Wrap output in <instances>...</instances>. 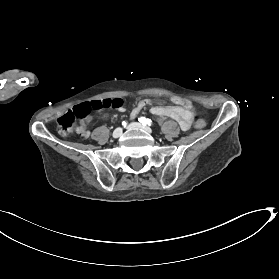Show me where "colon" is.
Returning <instances> with one entry per match:
<instances>
[{
    "label": "colon",
    "mask_w": 279,
    "mask_h": 279,
    "mask_svg": "<svg viewBox=\"0 0 279 279\" xmlns=\"http://www.w3.org/2000/svg\"><path fill=\"white\" fill-rule=\"evenodd\" d=\"M178 98L181 105L191 114H195L197 112L198 106L193 100L188 98ZM122 105L123 100L121 98H105L92 102L81 103L58 118V130L62 135H70L76 130L77 121L85 118L91 110L118 108ZM195 126L198 129H202L206 126V121L204 119H197Z\"/></svg>",
    "instance_id": "5ec220e1"
}]
</instances>
